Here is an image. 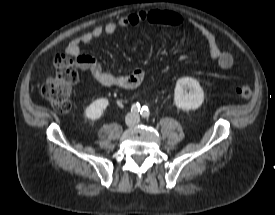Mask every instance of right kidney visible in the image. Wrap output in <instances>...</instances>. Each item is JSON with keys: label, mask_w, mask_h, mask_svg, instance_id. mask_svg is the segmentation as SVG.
<instances>
[{"label": "right kidney", "mask_w": 275, "mask_h": 215, "mask_svg": "<svg viewBox=\"0 0 275 215\" xmlns=\"http://www.w3.org/2000/svg\"><path fill=\"white\" fill-rule=\"evenodd\" d=\"M108 105L109 101L106 98H100L93 101L85 110L86 118L90 120L99 119Z\"/></svg>", "instance_id": "ca27d5eb"}]
</instances>
